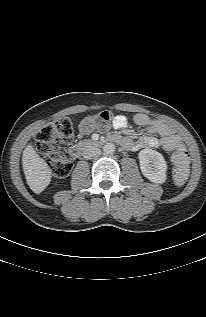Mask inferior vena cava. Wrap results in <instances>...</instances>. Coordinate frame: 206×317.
Segmentation results:
<instances>
[{
	"mask_svg": "<svg viewBox=\"0 0 206 317\" xmlns=\"http://www.w3.org/2000/svg\"><path fill=\"white\" fill-rule=\"evenodd\" d=\"M100 149L96 146H86L83 150L84 159H92L100 154Z\"/></svg>",
	"mask_w": 206,
	"mask_h": 317,
	"instance_id": "1",
	"label": "inferior vena cava"
}]
</instances>
